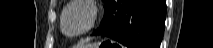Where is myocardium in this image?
I'll use <instances>...</instances> for the list:
<instances>
[{
	"label": "myocardium",
	"instance_id": "f54148a6",
	"mask_svg": "<svg viewBox=\"0 0 213 48\" xmlns=\"http://www.w3.org/2000/svg\"><path fill=\"white\" fill-rule=\"evenodd\" d=\"M74 6L86 7L90 11L91 16H90V21H89L88 26L83 31L78 32V33H69L65 30L64 21H65V16H66L68 10L71 9L72 7H74ZM98 13H99L98 8L96 7V5L92 1H89V0L72 1L62 11V14H61V30L68 37H72V38L80 37V36L88 33L95 26L97 18H98Z\"/></svg>",
	"mask_w": 213,
	"mask_h": 48
}]
</instances>
